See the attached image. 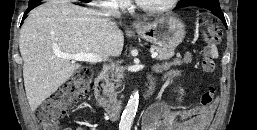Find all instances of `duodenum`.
<instances>
[{"instance_id": "1", "label": "duodenum", "mask_w": 257, "mask_h": 130, "mask_svg": "<svg viewBox=\"0 0 257 130\" xmlns=\"http://www.w3.org/2000/svg\"><path fill=\"white\" fill-rule=\"evenodd\" d=\"M154 87L151 85L144 93V98L152 95ZM95 96L99 105L105 110L108 116L115 119L119 116L121 111V103L116 99L106 73L101 72L95 82Z\"/></svg>"}]
</instances>
